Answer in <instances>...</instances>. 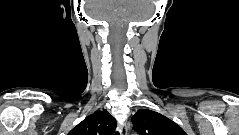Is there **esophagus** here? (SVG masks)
Wrapping results in <instances>:
<instances>
[{
  "label": "esophagus",
  "instance_id": "obj_1",
  "mask_svg": "<svg viewBox=\"0 0 239 135\" xmlns=\"http://www.w3.org/2000/svg\"><path fill=\"white\" fill-rule=\"evenodd\" d=\"M118 129H119V132L121 133V135L128 134V127L125 123L120 124Z\"/></svg>",
  "mask_w": 239,
  "mask_h": 135
}]
</instances>
